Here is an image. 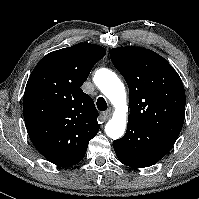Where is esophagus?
<instances>
[{
  "label": "esophagus",
  "instance_id": "esophagus-1",
  "mask_svg": "<svg viewBox=\"0 0 199 199\" xmlns=\"http://www.w3.org/2000/svg\"><path fill=\"white\" fill-rule=\"evenodd\" d=\"M111 117V111H106L103 113L104 120H108Z\"/></svg>",
  "mask_w": 199,
  "mask_h": 199
}]
</instances>
